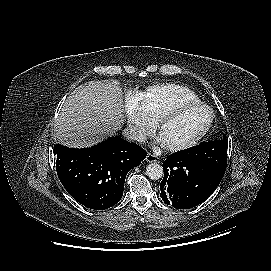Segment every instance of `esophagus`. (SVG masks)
Here are the masks:
<instances>
[{
	"mask_svg": "<svg viewBox=\"0 0 271 271\" xmlns=\"http://www.w3.org/2000/svg\"><path fill=\"white\" fill-rule=\"evenodd\" d=\"M146 161L149 163H152V162L159 163L161 161V159L154 154L148 153V155L146 156Z\"/></svg>",
	"mask_w": 271,
	"mask_h": 271,
	"instance_id": "1",
	"label": "esophagus"
}]
</instances>
